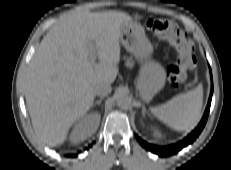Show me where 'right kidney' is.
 <instances>
[{"label": "right kidney", "mask_w": 231, "mask_h": 170, "mask_svg": "<svg viewBox=\"0 0 231 170\" xmlns=\"http://www.w3.org/2000/svg\"><path fill=\"white\" fill-rule=\"evenodd\" d=\"M99 122L100 115L98 113L83 116L75 124L70 134V141L72 143H79L87 139L97 130Z\"/></svg>", "instance_id": "obj_1"}]
</instances>
